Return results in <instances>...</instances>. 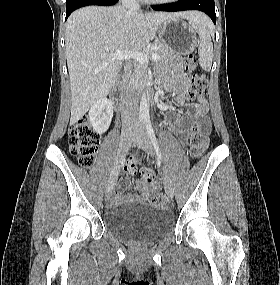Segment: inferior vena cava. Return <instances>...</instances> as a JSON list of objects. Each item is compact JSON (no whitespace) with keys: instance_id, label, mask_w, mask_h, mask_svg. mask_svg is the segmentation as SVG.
Wrapping results in <instances>:
<instances>
[{"instance_id":"inferior-vena-cava-1","label":"inferior vena cava","mask_w":280,"mask_h":285,"mask_svg":"<svg viewBox=\"0 0 280 285\" xmlns=\"http://www.w3.org/2000/svg\"><path fill=\"white\" fill-rule=\"evenodd\" d=\"M122 6L127 10H139V3L137 0H121ZM138 99L136 91L130 88L126 91V94L122 101V124L126 126L128 124H136L138 120Z\"/></svg>"}]
</instances>
